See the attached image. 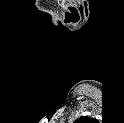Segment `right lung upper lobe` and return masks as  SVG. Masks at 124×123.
Returning a JSON list of instances; mask_svg holds the SVG:
<instances>
[{
    "mask_svg": "<svg viewBox=\"0 0 124 123\" xmlns=\"http://www.w3.org/2000/svg\"><path fill=\"white\" fill-rule=\"evenodd\" d=\"M89 118L87 116H83V117H80L78 118L76 121H85V120H88Z\"/></svg>",
    "mask_w": 124,
    "mask_h": 123,
    "instance_id": "right-lung-upper-lobe-1",
    "label": "right lung upper lobe"
}]
</instances>
